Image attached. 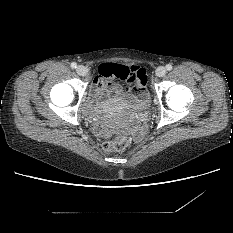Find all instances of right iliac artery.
Segmentation results:
<instances>
[{"instance_id": "1", "label": "right iliac artery", "mask_w": 233, "mask_h": 233, "mask_svg": "<svg viewBox=\"0 0 233 233\" xmlns=\"http://www.w3.org/2000/svg\"><path fill=\"white\" fill-rule=\"evenodd\" d=\"M70 66L71 68L75 69L77 67V64L75 62H72Z\"/></svg>"}]
</instances>
